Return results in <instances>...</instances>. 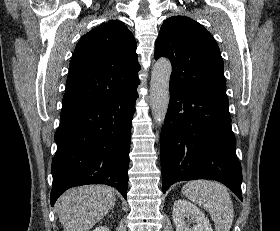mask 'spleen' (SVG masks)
Masks as SVG:
<instances>
[{
  "label": "spleen",
  "mask_w": 280,
  "mask_h": 231,
  "mask_svg": "<svg viewBox=\"0 0 280 231\" xmlns=\"http://www.w3.org/2000/svg\"><path fill=\"white\" fill-rule=\"evenodd\" d=\"M182 193L210 213L216 231H230L234 209L232 199L222 183L195 179L183 185Z\"/></svg>",
  "instance_id": "1"
}]
</instances>
